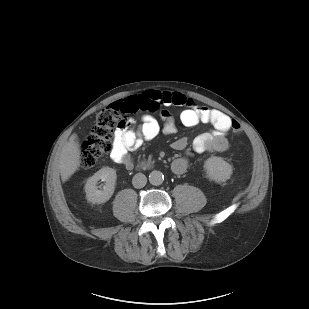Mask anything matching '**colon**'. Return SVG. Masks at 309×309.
<instances>
[{
  "label": "colon",
  "instance_id": "colon-1",
  "mask_svg": "<svg viewBox=\"0 0 309 309\" xmlns=\"http://www.w3.org/2000/svg\"><path fill=\"white\" fill-rule=\"evenodd\" d=\"M131 110L126 100L115 102L97 116L91 128L90 135L82 142L79 154V166L83 169L94 167L97 162L113 147L115 132L132 125ZM236 134H242V128L237 121L232 122Z\"/></svg>",
  "mask_w": 309,
  "mask_h": 309
}]
</instances>
